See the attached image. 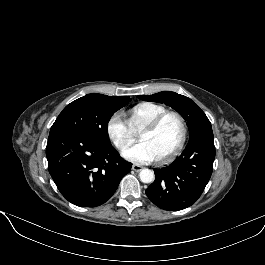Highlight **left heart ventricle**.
I'll list each match as a JSON object with an SVG mask.
<instances>
[{"label": "left heart ventricle", "instance_id": "obj_1", "mask_svg": "<svg viewBox=\"0 0 265 265\" xmlns=\"http://www.w3.org/2000/svg\"><path fill=\"white\" fill-rule=\"evenodd\" d=\"M181 134L182 129L179 120L174 116H170L155 131H141L139 137L150 145L158 158L177 145Z\"/></svg>", "mask_w": 265, "mask_h": 265}]
</instances>
